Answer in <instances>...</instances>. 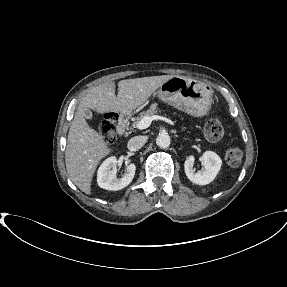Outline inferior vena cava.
I'll use <instances>...</instances> for the list:
<instances>
[{"mask_svg":"<svg viewBox=\"0 0 287 287\" xmlns=\"http://www.w3.org/2000/svg\"><path fill=\"white\" fill-rule=\"evenodd\" d=\"M146 143L144 136H135L128 141L127 147L130 151H137Z\"/></svg>","mask_w":287,"mask_h":287,"instance_id":"602c4592","label":"inferior vena cava"}]
</instances>
